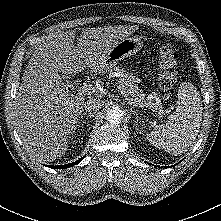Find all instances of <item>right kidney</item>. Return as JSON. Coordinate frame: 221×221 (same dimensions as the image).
I'll return each instance as SVG.
<instances>
[{"instance_id":"obj_1","label":"right kidney","mask_w":221,"mask_h":221,"mask_svg":"<svg viewBox=\"0 0 221 221\" xmlns=\"http://www.w3.org/2000/svg\"><path fill=\"white\" fill-rule=\"evenodd\" d=\"M74 133V137H75V135H76V137L78 136V133H76L75 134V132H73ZM76 137H75V139H76ZM72 139H73V136H72ZM74 142H76V140H74Z\"/></svg>"}]
</instances>
